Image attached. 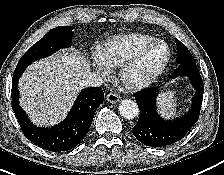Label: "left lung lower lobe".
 Instances as JSON below:
<instances>
[{"mask_svg": "<svg viewBox=\"0 0 224 175\" xmlns=\"http://www.w3.org/2000/svg\"><path fill=\"white\" fill-rule=\"evenodd\" d=\"M183 75L189 77L196 94L192 99L189 112L177 120L166 121L157 113L156 97L159 87L146 88L134 94L140 108V115L137 124L133 127V134L144 145L164 147L173 144L181 140L198 121L204 84L196 64H179L170 78Z\"/></svg>", "mask_w": 224, "mask_h": 175, "instance_id": "left-lung-lower-lobe-1", "label": "left lung lower lobe"}]
</instances>
